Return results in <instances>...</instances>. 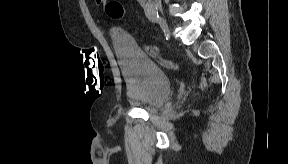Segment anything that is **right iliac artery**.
<instances>
[{"label": "right iliac artery", "mask_w": 288, "mask_h": 164, "mask_svg": "<svg viewBox=\"0 0 288 164\" xmlns=\"http://www.w3.org/2000/svg\"><path fill=\"white\" fill-rule=\"evenodd\" d=\"M146 16L148 17L150 21L154 23H157L159 20L158 12L149 6L147 8Z\"/></svg>", "instance_id": "right-iliac-artery-1"}]
</instances>
